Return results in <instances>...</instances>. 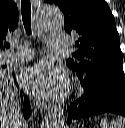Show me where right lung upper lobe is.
Listing matches in <instances>:
<instances>
[{"mask_svg":"<svg viewBox=\"0 0 125 128\" xmlns=\"http://www.w3.org/2000/svg\"><path fill=\"white\" fill-rule=\"evenodd\" d=\"M18 20L17 5L11 0H0V50L7 46L6 35L15 30Z\"/></svg>","mask_w":125,"mask_h":128,"instance_id":"right-lung-upper-lobe-1","label":"right lung upper lobe"}]
</instances>
